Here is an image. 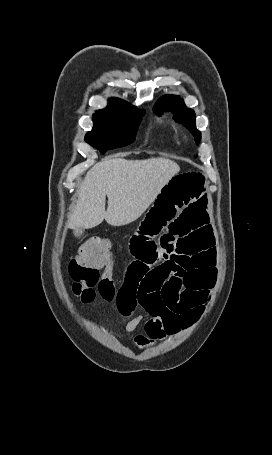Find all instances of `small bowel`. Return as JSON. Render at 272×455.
<instances>
[{"label": "small bowel", "instance_id": "c3829d8e", "mask_svg": "<svg viewBox=\"0 0 272 455\" xmlns=\"http://www.w3.org/2000/svg\"><path fill=\"white\" fill-rule=\"evenodd\" d=\"M206 184L200 172L174 175L131 238L133 261L115 302L127 333L148 317L138 348L189 327L208 302L216 252Z\"/></svg>", "mask_w": 272, "mask_h": 455}]
</instances>
